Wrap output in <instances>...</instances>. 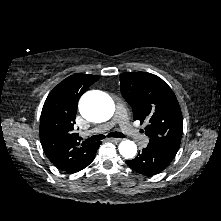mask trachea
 <instances>
[{
  "label": "trachea",
  "instance_id": "3493384b",
  "mask_svg": "<svg viewBox=\"0 0 221 221\" xmlns=\"http://www.w3.org/2000/svg\"><path fill=\"white\" fill-rule=\"evenodd\" d=\"M107 137H115V138H125V135L123 133H119V132H110ZM105 138V135H94L90 138H88L87 140L90 142H95V141H100L102 139Z\"/></svg>",
  "mask_w": 221,
  "mask_h": 221
}]
</instances>
